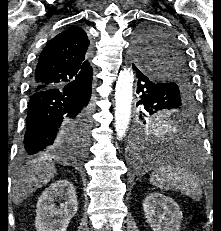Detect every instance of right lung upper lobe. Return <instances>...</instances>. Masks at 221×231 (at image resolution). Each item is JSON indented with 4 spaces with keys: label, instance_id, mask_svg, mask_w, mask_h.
<instances>
[{
    "label": "right lung upper lobe",
    "instance_id": "1",
    "mask_svg": "<svg viewBox=\"0 0 221 231\" xmlns=\"http://www.w3.org/2000/svg\"><path fill=\"white\" fill-rule=\"evenodd\" d=\"M89 40L80 27H71L51 39L41 52L32 79V91L92 80Z\"/></svg>",
    "mask_w": 221,
    "mask_h": 231
}]
</instances>
